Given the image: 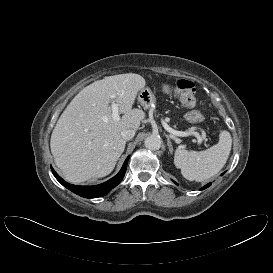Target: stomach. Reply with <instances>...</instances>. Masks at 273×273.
I'll use <instances>...</instances> for the list:
<instances>
[{"mask_svg": "<svg viewBox=\"0 0 273 273\" xmlns=\"http://www.w3.org/2000/svg\"><path fill=\"white\" fill-rule=\"evenodd\" d=\"M164 87H166V85H164ZM138 101L146 110L153 109L156 104L155 96L149 88L141 89L138 94Z\"/></svg>", "mask_w": 273, "mask_h": 273, "instance_id": "1", "label": "stomach"}]
</instances>
